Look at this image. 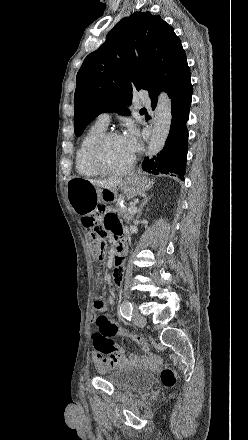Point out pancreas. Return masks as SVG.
<instances>
[{"instance_id":"obj_1","label":"pancreas","mask_w":248,"mask_h":440,"mask_svg":"<svg viewBox=\"0 0 248 440\" xmlns=\"http://www.w3.org/2000/svg\"><path fill=\"white\" fill-rule=\"evenodd\" d=\"M121 200H122V198L117 199L118 214L123 218V220H125L129 223L133 219L134 214L129 213L128 208H122L119 206V202Z\"/></svg>"}]
</instances>
